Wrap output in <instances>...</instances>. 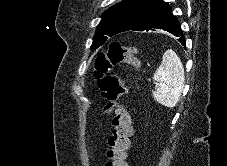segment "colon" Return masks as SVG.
Instances as JSON below:
<instances>
[{
	"instance_id": "colon-1",
	"label": "colon",
	"mask_w": 227,
	"mask_h": 166,
	"mask_svg": "<svg viewBox=\"0 0 227 166\" xmlns=\"http://www.w3.org/2000/svg\"><path fill=\"white\" fill-rule=\"evenodd\" d=\"M121 63L138 69L141 59L129 48L115 41L97 56L94 66V74L105 100L104 112L112 116L113 124V131L108 139V160L105 166H127L126 158L133 135L131 116L119 103L120 97L126 92L128 79L110 73L114 65Z\"/></svg>"
}]
</instances>
